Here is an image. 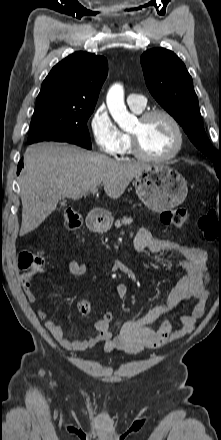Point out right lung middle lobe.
<instances>
[{"mask_svg": "<svg viewBox=\"0 0 221 440\" xmlns=\"http://www.w3.org/2000/svg\"><path fill=\"white\" fill-rule=\"evenodd\" d=\"M94 107H78L60 102L36 104L30 124L28 143L69 142L91 149L87 120Z\"/></svg>", "mask_w": 221, "mask_h": 440, "instance_id": "1", "label": "right lung middle lobe"}]
</instances>
